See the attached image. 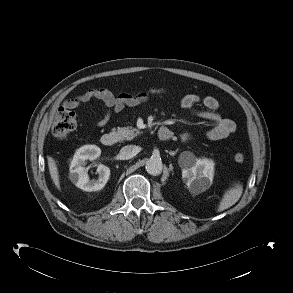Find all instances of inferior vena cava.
Segmentation results:
<instances>
[{
  "label": "inferior vena cava",
  "instance_id": "1",
  "mask_svg": "<svg viewBox=\"0 0 293 293\" xmlns=\"http://www.w3.org/2000/svg\"><path fill=\"white\" fill-rule=\"evenodd\" d=\"M139 148L133 145H127L121 148L120 150V157L123 160L131 159L136 154H138Z\"/></svg>",
  "mask_w": 293,
  "mask_h": 293
}]
</instances>
